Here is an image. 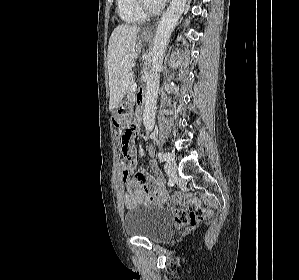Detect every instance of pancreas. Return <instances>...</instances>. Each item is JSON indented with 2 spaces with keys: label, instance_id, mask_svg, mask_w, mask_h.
<instances>
[{
  "label": "pancreas",
  "instance_id": "pancreas-1",
  "mask_svg": "<svg viewBox=\"0 0 299 280\" xmlns=\"http://www.w3.org/2000/svg\"><path fill=\"white\" fill-rule=\"evenodd\" d=\"M134 82L133 77L131 76L129 87H128V94L131 95V84Z\"/></svg>",
  "mask_w": 299,
  "mask_h": 280
}]
</instances>
